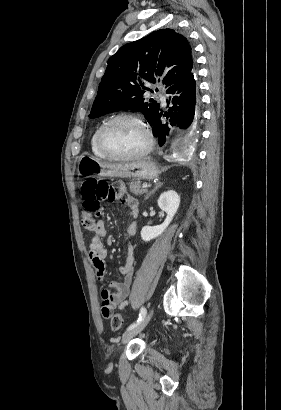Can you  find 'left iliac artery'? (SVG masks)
Masks as SVG:
<instances>
[{"instance_id": "obj_1", "label": "left iliac artery", "mask_w": 281, "mask_h": 410, "mask_svg": "<svg viewBox=\"0 0 281 410\" xmlns=\"http://www.w3.org/2000/svg\"><path fill=\"white\" fill-rule=\"evenodd\" d=\"M146 312H147V311H146V308H145V307H142L141 310H140V314H139V317H138L136 323L131 324V325L128 327L127 330H130V329H132L133 327H135V326L145 317Z\"/></svg>"}]
</instances>
